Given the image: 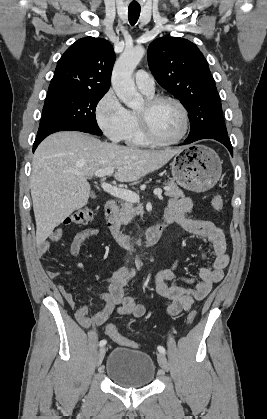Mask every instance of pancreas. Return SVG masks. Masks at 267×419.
<instances>
[{
  "mask_svg": "<svg viewBox=\"0 0 267 419\" xmlns=\"http://www.w3.org/2000/svg\"><path fill=\"white\" fill-rule=\"evenodd\" d=\"M165 185L168 189L165 192L166 196L178 199L184 197V193L179 189L177 184L173 181H167ZM141 213L140 208H134L131 202L125 201L121 203L120 208L114 214V221L117 225H126L128 224L135 215Z\"/></svg>",
  "mask_w": 267,
  "mask_h": 419,
  "instance_id": "cf45deb5",
  "label": "pancreas"
}]
</instances>
